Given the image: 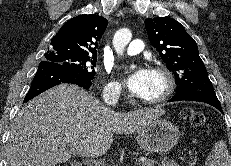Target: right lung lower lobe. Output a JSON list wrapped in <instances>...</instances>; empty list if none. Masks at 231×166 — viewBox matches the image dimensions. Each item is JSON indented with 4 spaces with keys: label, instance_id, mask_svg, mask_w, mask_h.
I'll list each match as a JSON object with an SVG mask.
<instances>
[{
    "label": "right lung lower lobe",
    "instance_id": "98d812e1",
    "mask_svg": "<svg viewBox=\"0 0 231 166\" xmlns=\"http://www.w3.org/2000/svg\"><path fill=\"white\" fill-rule=\"evenodd\" d=\"M60 83L76 84L80 87L88 89L93 83L89 79L79 73H76L64 66L54 64L48 61H42L31 83V87L25 96L24 102L29 101L38 94L47 89L59 85Z\"/></svg>",
    "mask_w": 231,
    "mask_h": 166
}]
</instances>
